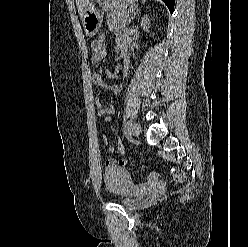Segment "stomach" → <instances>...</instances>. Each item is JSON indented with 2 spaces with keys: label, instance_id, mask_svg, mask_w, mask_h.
Wrapping results in <instances>:
<instances>
[{
  "label": "stomach",
  "instance_id": "0dacf381",
  "mask_svg": "<svg viewBox=\"0 0 248 247\" xmlns=\"http://www.w3.org/2000/svg\"><path fill=\"white\" fill-rule=\"evenodd\" d=\"M136 1L137 0H96L105 11L111 8H125ZM81 21L87 36L92 37L97 34L103 19L93 1L85 7Z\"/></svg>",
  "mask_w": 248,
  "mask_h": 247
}]
</instances>
